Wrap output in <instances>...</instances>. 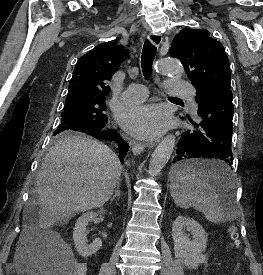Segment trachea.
Wrapping results in <instances>:
<instances>
[{
    "label": "trachea",
    "mask_w": 263,
    "mask_h": 275,
    "mask_svg": "<svg viewBox=\"0 0 263 275\" xmlns=\"http://www.w3.org/2000/svg\"><path fill=\"white\" fill-rule=\"evenodd\" d=\"M157 48L147 39L144 43L142 56H141V67L143 75L148 79L152 73V63L155 58ZM172 99H178L172 97Z\"/></svg>",
    "instance_id": "trachea-1"
}]
</instances>
